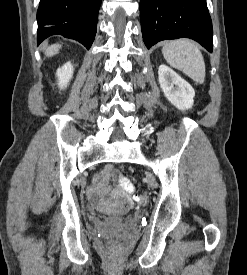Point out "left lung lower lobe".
I'll list each match as a JSON object with an SVG mask.
<instances>
[{
	"label": "left lung lower lobe",
	"instance_id": "left-lung-lower-lobe-1",
	"mask_svg": "<svg viewBox=\"0 0 247 275\" xmlns=\"http://www.w3.org/2000/svg\"><path fill=\"white\" fill-rule=\"evenodd\" d=\"M141 29L148 49L166 39L186 37L213 49L206 0H140Z\"/></svg>",
	"mask_w": 247,
	"mask_h": 275
}]
</instances>
